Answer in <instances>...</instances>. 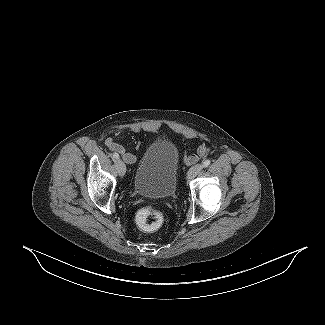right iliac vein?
Segmentation results:
<instances>
[{
    "mask_svg": "<svg viewBox=\"0 0 325 325\" xmlns=\"http://www.w3.org/2000/svg\"><path fill=\"white\" fill-rule=\"evenodd\" d=\"M116 166H117V170H118L119 175L120 176H124L125 175V172H126V165H125V163L122 160L118 159L116 161Z\"/></svg>",
    "mask_w": 325,
    "mask_h": 325,
    "instance_id": "right-iliac-vein-1",
    "label": "right iliac vein"
}]
</instances>
